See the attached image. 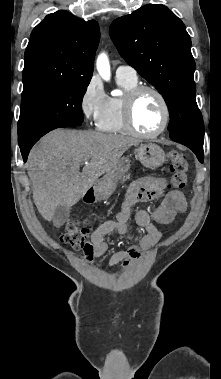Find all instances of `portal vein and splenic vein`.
Returning a JSON list of instances; mask_svg holds the SVG:
<instances>
[{"mask_svg":"<svg viewBox=\"0 0 221 379\" xmlns=\"http://www.w3.org/2000/svg\"><path fill=\"white\" fill-rule=\"evenodd\" d=\"M85 163H86V164L88 163V160H87V159L85 160Z\"/></svg>","mask_w":221,"mask_h":379,"instance_id":"1","label":"portal vein and splenic vein"}]
</instances>
